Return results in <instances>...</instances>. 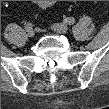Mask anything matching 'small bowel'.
Listing matches in <instances>:
<instances>
[{
    "instance_id": "obj_1",
    "label": "small bowel",
    "mask_w": 109,
    "mask_h": 109,
    "mask_svg": "<svg viewBox=\"0 0 109 109\" xmlns=\"http://www.w3.org/2000/svg\"><path fill=\"white\" fill-rule=\"evenodd\" d=\"M37 5L42 9H47L53 5V1H38Z\"/></svg>"
}]
</instances>
